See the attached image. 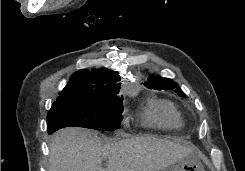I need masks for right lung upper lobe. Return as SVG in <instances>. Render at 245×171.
Returning <instances> with one entry per match:
<instances>
[{
	"mask_svg": "<svg viewBox=\"0 0 245 171\" xmlns=\"http://www.w3.org/2000/svg\"><path fill=\"white\" fill-rule=\"evenodd\" d=\"M117 72L108 69H87L75 72L67 86L59 92L56 102L63 100H97L117 97L120 84Z\"/></svg>",
	"mask_w": 245,
	"mask_h": 171,
	"instance_id": "obj_1",
	"label": "right lung upper lobe"
}]
</instances>
